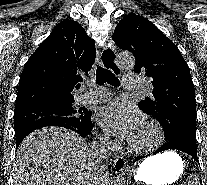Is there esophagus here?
Listing matches in <instances>:
<instances>
[{"mask_svg": "<svg viewBox=\"0 0 207 185\" xmlns=\"http://www.w3.org/2000/svg\"><path fill=\"white\" fill-rule=\"evenodd\" d=\"M105 50H102V55H106V56H101V61H105L103 62L104 67H108L110 68V72H114L116 74H120L122 72V67H117L116 66V61L117 57L116 56H112V55H116V50L113 49H107V48H112V43H105ZM125 159L123 156L118 155L115 159V173H123L125 170Z\"/></svg>", "mask_w": 207, "mask_h": 185, "instance_id": "34e87169", "label": "esophagus"}]
</instances>
